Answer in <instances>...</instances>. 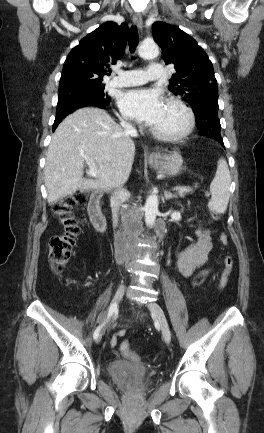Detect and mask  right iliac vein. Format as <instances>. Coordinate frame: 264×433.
Masks as SVG:
<instances>
[{
  "mask_svg": "<svg viewBox=\"0 0 264 433\" xmlns=\"http://www.w3.org/2000/svg\"><path fill=\"white\" fill-rule=\"evenodd\" d=\"M124 289H125L124 284L121 283V284L119 285V287H118L116 293H115V296H114V298H113L112 304H115V305L117 306V305L120 303V301H121V299H122V297H123V295H124ZM116 311H117V310H116ZM116 311H115V312H116ZM102 336H103V332H101V334L98 336V338H97V342H100V341H101Z\"/></svg>",
  "mask_w": 264,
  "mask_h": 433,
  "instance_id": "63e3f726",
  "label": "right iliac vein"
}]
</instances>
